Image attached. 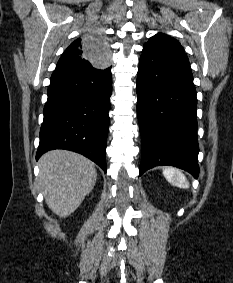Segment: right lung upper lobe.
Instances as JSON below:
<instances>
[{
  "instance_id": "1",
  "label": "right lung upper lobe",
  "mask_w": 233,
  "mask_h": 283,
  "mask_svg": "<svg viewBox=\"0 0 233 283\" xmlns=\"http://www.w3.org/2000/svg\"><path fill=\"white\" fill-rule=\"evenodd\" d=\"M115 49H110V44L104 35L96 30L88 33L82 39L72 42L60 57L56 69L82 67L89 65H110Z\"/></svg>"
}]
</instances>
